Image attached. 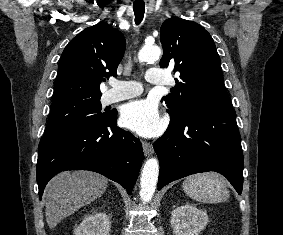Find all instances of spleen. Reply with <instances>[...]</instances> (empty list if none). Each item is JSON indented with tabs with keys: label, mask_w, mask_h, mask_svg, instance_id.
<instances>
[{
	"label": "spleen",
	"mask_w": 283,
	"mask_h": 235,
	"mask_svg": "<svg viewBox=\"0 0 283 235\" xmlns=\"http://www.w3.org/2000/svg\"><path fill=\"white\" fill-rule=\"evenodd\" d=\"M182 188L187 196L197 202L212 204L229 198L224 178L214 172L188 176L183 181Z\"/></svg>",
	"instance_id": "3e777b00"
}]
</instances>
